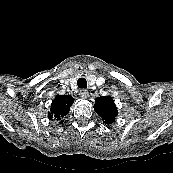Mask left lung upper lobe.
<instances>
[{"instance_id":"left-lung-upper-lobe-1","label":"left lung upper lobe","mask_w":173,"mask_h":173,"mask_svg":"<svg viewBox=\"0 0 173 173\" xmlns=\"http://www.w3.org/2000/svg\"><path fill=\"white\" fill-rule=\"evenodd\" d=\"M94 108L106 124L113 123L118 114L115 103L110 96L96 98Z\"/></svg>"}]
</instances>
